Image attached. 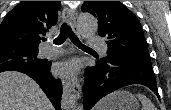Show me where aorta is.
<instances>
[{"mask_svg":"<svg viewBox=\"0 0 171 110\" xmlns=\"http://www.w3.org/2000/svg\"><path fill=\"white\" fill-rule=\"evenodd\" d=\"M77 27L82 37H91L97 32L98 21L93 15L80 14L77 19Z\"/></svg>","mask_w":171,"mask_h":110,"instance_id":"1","label":"aorta"}]
</instances>
